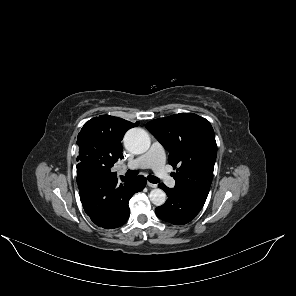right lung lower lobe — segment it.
<instances>
[{"mask_svg": "<svg viewBox=\"0 0 296 296\" xmlns=\"http://www.w3.org/2000/svg\"><path fill=\"white\" fill-rule=\"evenodd\" d=\"M77 183L86 214L99 227L117 228L129 218V200L146 186L143 176L136 178L103 177L86 164H77Z\"/></svg>", "mask_w": 296, "mask_h": 296, "instance_id": "98d812e1", "label": "right lung lower lobe"}]
</instances>
